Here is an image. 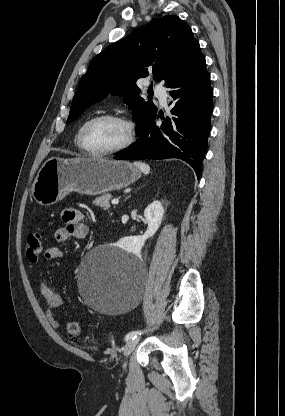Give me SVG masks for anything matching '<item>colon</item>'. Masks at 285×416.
<instances>
[{
  "label": "colon",
  "instance_id": "colon-1",
  "mask_svg": "<svg viewBox=\"0 0 285 416\" xmlns=\"http://www.w3.org/2000/svg\"><path fill=\"white\" fill-rule=\"evenodd\" d=\"M42 249V242L39 236L36 234H29L25 241L27 259L31 262L37 261L42 253ZM67 333L70 339L75 342L83 340L82 329L80 325L75 321H71L67 324Z\"/></svg>",
  "mask_w": 285,
  "mask_h": 416
}]
</instances>
